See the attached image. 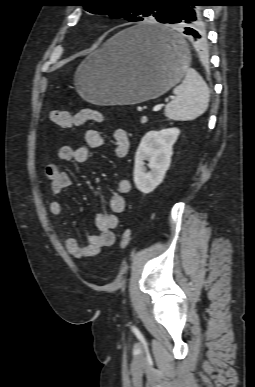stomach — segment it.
<instances>
[{
    "label": "stomach",
    "mask_w": 255,
    "mask_h": 387,
    "mask_svg": "<svg viewBox=\"0 0 255 387\" xmlns=\"http://www.w3.org/2000/svg\"><path fill=\"white\" fill-rule=\"evenodd\" d=\"M159 29L143 22L110 38L78 67L74 84L80 96L99 105H130L157 98L184 77L190 55L182 37L170 32L178 45L168 49L142 32Z\"/></svg>",
    "instance_id": "obj_1"
}]
</instances>
